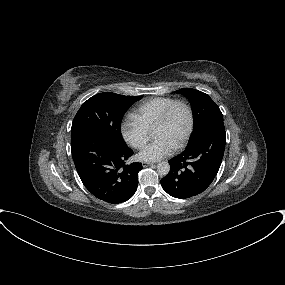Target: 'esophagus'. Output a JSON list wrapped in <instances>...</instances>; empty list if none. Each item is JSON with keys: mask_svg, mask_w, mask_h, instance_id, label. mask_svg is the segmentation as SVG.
<instances>
[{"mask_svg": "<svg viewBox=\"0 0 285 285\" xmlns=\"http://www.w3.org/2000/svg\"><path fill=\"white\" fill-rule=\"evenodd\" d=\"M153 163H151V162H142V166L143 167H148V166H150V165H152Z\"/></svg>", "mask_w": 285, "mask_h": 285, "instance_id": "esophagus-1", "label": "esophagus"}]
</instances>
